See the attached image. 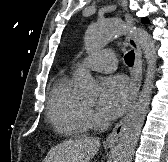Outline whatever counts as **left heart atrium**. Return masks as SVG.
<instances>
[{"label": "left heart atrium", "instance_id": "obj_1", "mask_svg": "<svg viewBox=\"0 0 168 162\" xmlns=\"http://www.w3.org/2000/svg\"><path fill=\"white\" fill-rule=\"evenodd\" d=\"M132 96L133 88L127 78L121 75L105 78L101 84L99 113L107 119L118 117L125 111Z\"/></svg>", "mask_w": 168, "mask_h": 162}]
</instances>
